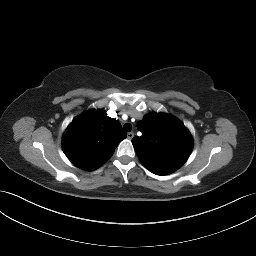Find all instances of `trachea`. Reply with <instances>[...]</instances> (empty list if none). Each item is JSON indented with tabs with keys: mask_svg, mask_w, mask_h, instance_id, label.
Here are the masks:
<instances>
[{
	"mask_svg": "<svg viewBox=\"0 0 256 256\" xmlns=\"http://www.w3.org/2000/svg\"><path fill=\"white\" fill-rule=\"evenodd\" d=\"M123 128L126 132H130L132 130V125L130 123H126Z\"/></svg>",
	"mask_w": 256,
	"mask_h": 256,
	"instance_id": "1",
	"label": "trachea"
}]
</instances>
